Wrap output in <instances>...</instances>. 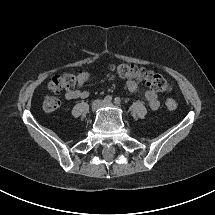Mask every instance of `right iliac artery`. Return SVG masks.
<instances>
[{
  "label": "right iliac artery",
  "mask_w": 215,
  "mask_h": 215,
  "mask_svg": "<svg viewBox=\"0 0 215 215\" xmlns=\"http://www.w3.org/2000/svg\"><path fill=\"white\" fill-rule=\"evenodd\" d=\"M112 100V96L110 95H107L105 98H104V102H110Z\"/></svg>",
  "instance_id": "82829eb1"
}]
</instances>
